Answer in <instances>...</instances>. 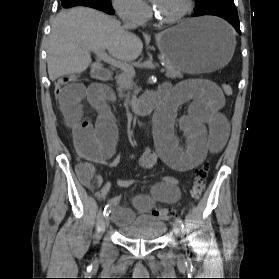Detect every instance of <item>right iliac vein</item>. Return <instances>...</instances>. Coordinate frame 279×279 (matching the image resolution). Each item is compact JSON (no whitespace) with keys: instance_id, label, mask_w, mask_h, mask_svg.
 I'll return each mask as SVG.
<instances>
[{"instance_id":"1","label":"right iliac vein","mask_w":279,"mask_h":279,"mask_svg":"<svg viewBox=\"0 0 279 279\" xmlns=\"http://www.w3.org/2000/svg\"><path fill=\"white\" fill-rule=\"evenodd\" d=\"M109 224H110V216L106 215L104 222H103V227L108 228Z\"/></svg>"}]
</instances>
